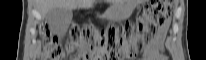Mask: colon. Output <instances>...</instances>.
Here are the masks:
<instances>
[{"instance_id": "5ec220e1", "label": "colon", "mask_w": 206, "mask_h": 60, "mask_svg": "<svg viewBox=\"0 0 206 60\" xmlns=\"http://www.w3.org/2000/svg\"><path fill=\"white\" fill-rule=\"evenodd\" d=\"M172 10L173 1L157 0L148 2L138 19L136 25L138 31L145 33L149 27L163 24L172 13ZM131 31L132 26L128 23L120 28L110 26L103 31H98L89 27L84 28L83 30L75 29L73 32V39L69 41L67 48H70L75 41H80L83 38L94 41L99 37L106 38L111 45L115 46L117 44H122ZM40 35L43 43V59L59 60L65 56L66 49L61 45L59 39L50 33L46 24L41 25ZM140 47H142V43L140 44ZM119 55L120 54H116L117 57Z\"/></svg>"}]
</instances>
